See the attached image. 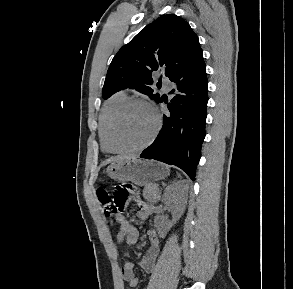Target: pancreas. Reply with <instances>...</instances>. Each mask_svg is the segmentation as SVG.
Returning <instances> with one entry per match:
<instances>
[{
    "instance_id": "obj_1",
    "label": "pancreas",
    "mask_w": 293,
    "mask_h": 289,
    "mask_svg": "<svg viewBox=\"0 0 293 289\" xmlns=\"http://www.w3.org/2000/svg\"><path fill=\"white\" fill-rule=\"evenodd\" d=\"M143 197L150 202H158L160 198L158 186L156 184L146 185L143 190Z\"/></svg>"
}]
</instances>
